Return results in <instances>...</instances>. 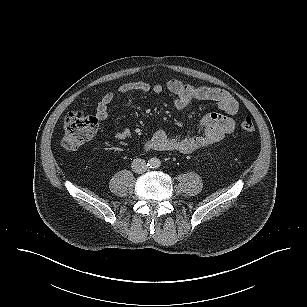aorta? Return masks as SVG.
Segmentation results:
<instances>
[{
	"instance_id": "aorta-1",
	"label": "aorta",
	"mask_w": 307,
	"mask_h": 307,
	"mask_svg": "<svg viewBox=\"0 0 307 307\" xmlns=\"http://www.w3.org/2000/svg\"><path fill=\"white\" fill-rule=\"evenodd\" d=\"M160 164H161L160 160L156 157H153L149 160V165L152 168H157L160 166Z\"/></svg>"
}]
</instances>
